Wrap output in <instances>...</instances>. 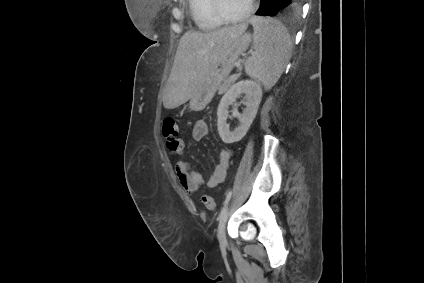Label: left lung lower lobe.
I'll use <instances>...</instances> for the list:
<instances>
[{"mask_svg":"<svg viewBox=\"0 0 424 283\" xmlns=\"http://www.w3.org/2000/svg\"><path fill=\"white\" fill-rule=\"evenodd\" d=\"M303 0H261L256 15L275 16L277 14L298 13Z\"/></svg>","mask_w":424,"mask_h":283,"instance_id":"1","label":"left lung lower lobe"}]
</instances>
